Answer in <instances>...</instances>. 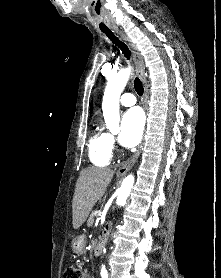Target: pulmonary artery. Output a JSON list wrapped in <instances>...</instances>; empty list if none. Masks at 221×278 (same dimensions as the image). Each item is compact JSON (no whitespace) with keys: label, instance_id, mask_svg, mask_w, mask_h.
<instances>
[{"label":"pulmonary artery","instance_id":"1","mask_svg":"<svg viewBox=\"0 0 221 278\" xmlns=\"http://www.w3.org/2000/svg\"><path fill=\"white\" fill-rule=\"evenodd\" d=\"M136 103V98L131 93H125L120 97V104L126 107L133 106Z\"/></svg>","mask_w":221,"mask_h":278}]
</instances>
